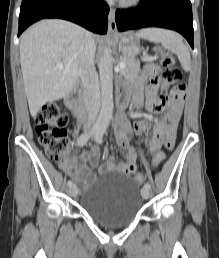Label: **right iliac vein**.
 <instances>
[{"mask_svg": "<svg viewBox=\"0 0 219 258\" xmlns=\"http://www.w3.org/2000/svg\"><path fill=\"white\" fill-rule=\"evenodd\" d=\"M69 193H70V195H71L72 197H76L77 194H78V189H77V187H76L75 185L71 186V187L69 188Z\"/></svg>", "mask_w": 219, "mask_h": 258, "instance_id": "63e3f726", "label": "right iliac vein"}]
</instances>
